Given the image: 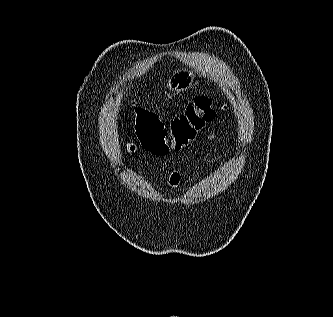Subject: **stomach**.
Returning <instances> with one entry per match:
<instances>
[{
    "mask_svg": "<svg viewBox=\"0 0 333 317\" xmlns=\"http://www.w3.org/2000/svg\"><path fill=\"white\" fill-rule=\"evenodd\" d=\"M194 81V74L188 70H178L168 80V88L173 92H183L190 88Z\"/></svg>",
    "mask_w": 333,
    "mask_h": 317,
    "instance_id": "stomach-1",
    "label": "stomach"
}]
</instances>
